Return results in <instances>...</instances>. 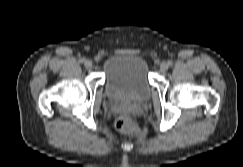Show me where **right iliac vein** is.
<instances>
[{
    "label": "right iliac vein",
    "instance_id": "63e3f726",
    "mask_svg": "<svg viewBox=\"0 0 243 167\" xmlns=\"http://www.w3.org/2000/svg\"><path fill=\"white\" fill-rule=\"evenodd\" d=\"M85 67H86L87 69H91V68H92V62H91L90 60H86V61H85Z\"/></svg>",
    "mask_w": 243,
    "mask_h": 167
}]
</instances>
